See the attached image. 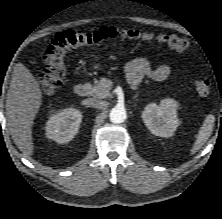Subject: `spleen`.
I'll return each mask as SVG.
<instances>
[{
    "mask_svg": "<svg viewBox=\"0 0 222 219\" xmlns=\"http://www.w3.org/2000/svg\"><path fill=\"white\" fill-rule=\"evenodd\" d=\"M214 122L215 117L213 115L210 114L206 117L202 127L198 131L196 141L191 149V154H195L206 143L212 134Z\"/></svg>",
    "mask_w": 222,
    "mask_h": 219,
    "instance_id": "3e777b00",
    "label": "spleen"
}]
</instances>
